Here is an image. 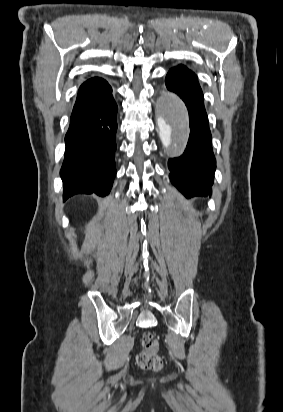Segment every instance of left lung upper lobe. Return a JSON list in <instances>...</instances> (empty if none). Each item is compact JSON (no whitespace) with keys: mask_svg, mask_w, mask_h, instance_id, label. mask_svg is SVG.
<instances>
[{"mask_svg":"<svg viewBox=\"0 0 283 412\" xmlns=\"http://www.w3.org/2000/svg\"><path fill=\"white\" fill-rule=\"evenodd\" d=\"M178 69L188 70L185 66L179 65V66H177V67H175V68H172L170 71L178 70Z\"/></svg>","mask_w":283,"mask_h":412,"instance_id":"5c2ea615","label":"left lung upper lobe"}]
</instances>
